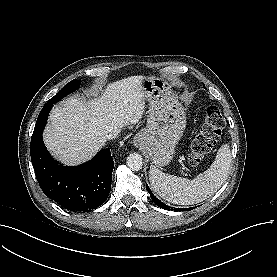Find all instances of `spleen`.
I'll return each mask as SVG.
<instances>
[{
  "mask_svg": "<svg viewBox=\"0 0 277 277\" xmlns=\"http://www.w3.org/2000/svg\"><path fill=\"white\" fill-rule=\"evenodd\" d=\"M231 167V151L228 144L222 145L210 168L190 180L165 174L155 166L150 167L151 186L164 200L181 205L199 203L214 193L228 178Z\"/></svg>",
  "mask_w": 277,
  "mask_h": 277,
  "instance_id": "3e777b00",
  "label": "spleen"
}]
</instances>
